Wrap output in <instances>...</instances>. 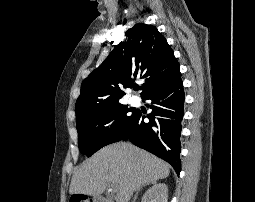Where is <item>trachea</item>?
<instances>
[{
  "label": "trachea",
  "instance_id": "3493384b",
  "mask_svg": "<svg viewBox=\"0 0 255 202\" xmlns=\"http://www.w3.org/2000/svg\"><path fill=\"white\" fill-rule=\"evenodd\" d=\"M135 90H139V87H136Z\"/></svg>",
  "mask_w": 255,
  "mask_h": 202
}]
</instances>
